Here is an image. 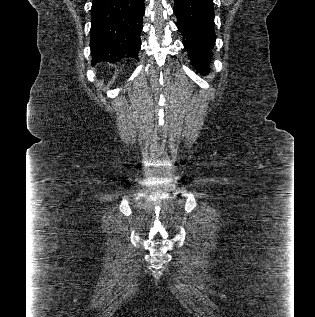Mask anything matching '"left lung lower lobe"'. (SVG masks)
Segmentation results:
<instances>
[{"mask_svg":"<svg viewBox=\"0 0 315 317\" xmlns=\"http://www.w3.org/2000/svg\"><path fill=\"white\" fill-rule=\"evenodd\" d=\"M174 13L192 64L201 74L208 73L216 39L213 0H175Z\"/></svg>","mask_w":315,"mask_h":317,"instance_id":"obj_1","label":"left lung lower lobe"}]
</instances>
